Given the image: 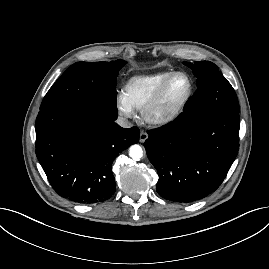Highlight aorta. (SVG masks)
<instances>
[{
  "mask_svg": "<svg viewBox=\"0 0 269 269\" xmlns=\"http://www.w3.org/2000/svg\"><path fill=\"white\" fill-rule=\"evenodd\" d=\"M129 156L135 160L138 161L143 156V149L140 145L134 144L129 148Z\"/></svg>",
  "mask_w": 269,
  "mask_h": 269,
  "instance_id": "762f6f07",
  "label": "aorta"
}]
</instances>
